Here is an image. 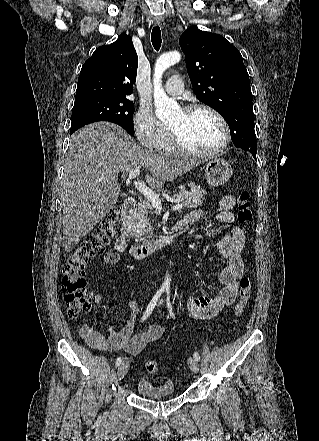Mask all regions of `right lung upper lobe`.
<instances>
[{
    "label": "right lung upper lobe",
    "mask_w": 319,
    "mask_h": 441,
    "mask_svg": "<svg viewBox=\"0 0 319 441\" xmlns=\"http://www.w3.org/2000/svg\"><path fill=\"white\" fill-rule=\"evenodd\" d=\"M138 56L132 38L121 34L110 44L98 47L81 68L76 98L121 97L132 93Z\"/></svg>",
    "instance_id": "obj_1"
}]
</instances>
